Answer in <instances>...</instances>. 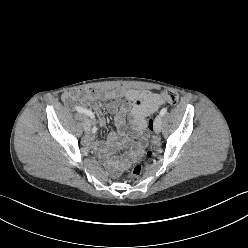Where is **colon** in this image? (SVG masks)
<instances>
[{
    "label": "colon",
    "instance_id": "obj_1",
    "mask_svg": "<svg viewBox=\"0 0 248 248\" xmlns=\"http://www.w3.org/2000/svg\"><path fill=\"white\" fill-rule=\"evenodd\" d=\"M161 99L166 102L169 103L171 105H175L178 102V94L170 89H166L164 91L161 92L160 94ZM147 127L149 130H153L154 128V123L151 119L147 120ZM156 143V139L153 138L152 139V144ZM146 155L149 157L151 156V151L148 150L146 152ZM142 173V167L140 165H135L132 170H131V175L133 176H139Z\"/></svg>",
    "mask_w": 248,
    "mask_h": 248
}]
</instances>
